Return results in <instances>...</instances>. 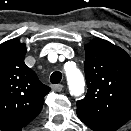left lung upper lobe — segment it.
<instances>
[{"instance_id": "left-lung-upper-lobe-1", "label": "left lung upper lobe", "mask_w": 131, "mask_h": 131, "mask_svg": "<svg viewBox=\"0 0 131 131\" xmlns=\"http://www.w3.org/2000/svg\"><path fill=\"white\" fill-rule=\"evenodd\" d=\"M85 53L88 92L77 115L94 131H116L131 119V58L100 38L86 44Z\"/></svg>"}]
</instances>
